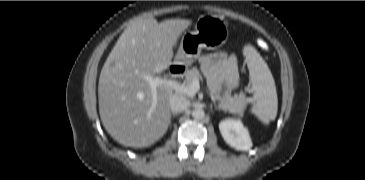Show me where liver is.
Masks as SVG:
<instances>
[{
	"label": "liver",
	"mask_w": 365,
	"mask_h": 180,
	"mask_svg": "<svg viewBox=\"0 0 365 180\" xmlns=\"http://www.w3.org/2000/svg\"><path fill=\"white\" fill-rule=\"evenodd\" d=\"M191 23L135 19L109 54L99 78V114L106 131L120 144L148 147L166 133L173 89L157 86L155 108L149 114L153 98L144 75L154 77L172 65L173 48Z\"/></svg>",
	"instance_id": "6515ba94"
}]
</instances>
